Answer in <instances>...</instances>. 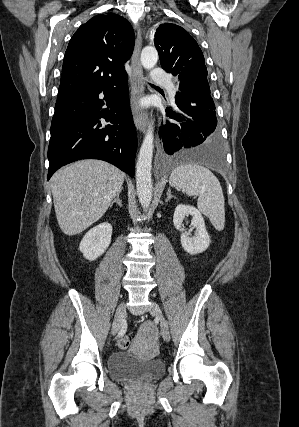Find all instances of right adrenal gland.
Instances as JSON below:
<instances>
[{"label":"right adrenal gland","instance_id":"2a0ac1e0","mask_svg":"<svg viewBox=\"0 0 299 427\" xmlns=\"http://www.w3.org/2000/svg\"><path fill=\"white\" fill-rule=\"evenodd\" d=\"M120 192L117 193L116 197L114 198V200L111 202L110 207L113 206L114 203H117L120 207L122 206V201L120 200Z\"/></svg>","mask_w":299,"mask_h":427}]
</instances>
